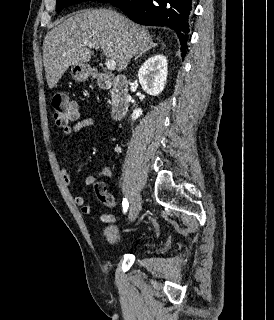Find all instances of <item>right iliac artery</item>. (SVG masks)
Returning <instances> with one entry per match:
<instances>
[{"label": "right iliac artery", "instance_id": "1", "mask_svg": "<svg viewBox=\"0 0 274 320\" xmlns=\"http://www.w3.org/2000/svg\"><path fill=\"white\" fill-rule=\"evenodd\" d=\"M122 206H123V212L126 213L129 207V203L126 198L123 199Z\"/></svg>", "mask_w": 274, "mask_h": 320}]
</instances>
